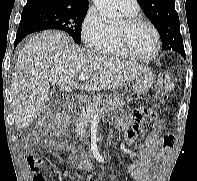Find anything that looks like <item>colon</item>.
Instances as JSON below:
<instances>
[{
  "label": "colon",
  "instance_id": "5ec220e1",
  "mask_svg": "<svg viewBox=\"0 0 197 181\" xmlns=\"http://www.w3.org/2000/svg\"><path fill=\"white\" fill-rule=\"evenodd\" d=\"M172 86V77L170 74H161L158 78L156 91L160 101L165 102L168 98ZM68 125V117L65 114L45 116L41 122V130L47 136H56L62 134Z\"/></svg>",
  "mask_w": 197,
  "mask_h": 181
}]
</instances>
